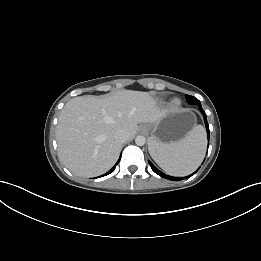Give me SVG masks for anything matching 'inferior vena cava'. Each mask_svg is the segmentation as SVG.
Returning <instances> with one entry per match:
<instances>
[{
  "mask_svg": "<svg viewBox=\"0 0 261 261\" xmlns=\"http://www.w3.org/2000/svg\"><path fill=\"white\" fill-rule=\"evenodd\" d=\"M114 138L120 142H124L126 139V133L123 130H117L114 134Z\"/></svg>",
  "mask_w": 261,
  "mask_h": 261,
  "instance_id": "1",
  "label": "inferior vena cava"
}]
</instances>
